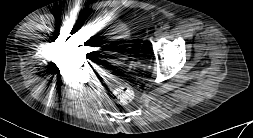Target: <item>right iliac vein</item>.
<instances>
[{
    "label": "right iliac vein",
    "mask_w": 253,
    "mask_h": 138,
    "mask_svg": "<svg viewBox=\"0 0 253 138\" xmlns=\"http://www.w3.org/2000/svg\"><path fill=\"white\" fill-rule=\"evenodd\" d=\"M74 32H75L76 34H79V33L81 32V28H80L79 26H76V27L74 28Z\"/></svg>",
    "instance_id": "63e3f726"
}]
</instances>
